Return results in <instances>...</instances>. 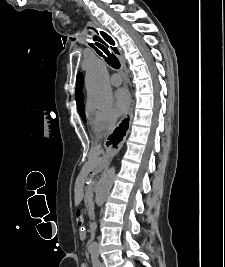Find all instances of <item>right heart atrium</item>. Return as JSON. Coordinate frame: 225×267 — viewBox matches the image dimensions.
<instances>
[{
  "label": "right heart atrium",
  "instance_id": "d8ad5b80",
  "mask_svg": "<svg viewBox=\"0 0 225 267\" xmlns=\"http://www.w3.org/2000/svg\"><path fill=\"white\" fill-rule=\"evenodd\" d=\"M87 112L92 130L97 135L110 133L117 125V115L110 107L89 104Z\"/></svg>",
  "mask_w": 225,
  "mask_h": 267
}]
</instances>
